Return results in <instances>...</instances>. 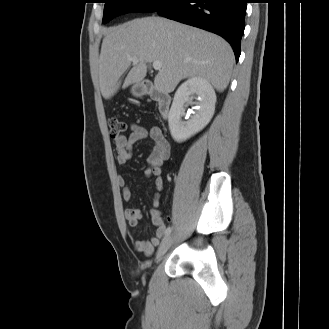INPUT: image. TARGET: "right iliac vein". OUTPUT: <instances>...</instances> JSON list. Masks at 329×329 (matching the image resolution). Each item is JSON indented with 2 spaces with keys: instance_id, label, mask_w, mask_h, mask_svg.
<instances>
[{
  "instance_id": "63e3f726",
  "label": "right iliac vein",
  "mask_w": 329,
  "mask_h": 329,
  "mask_svg": "<svg viewBox=\"0 0 329 329\" xmlns=\"http://www.w3.org/2000/svg\"><path fill=\"white\" fill-rule=\"evenodd\" d=\"M172 243H173V237L171 235L165 237L158 248L156 259H160L167 252V250L170 248Z\"/></svg>"
}]
</instances>
